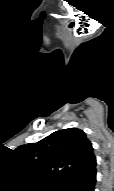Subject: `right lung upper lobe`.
<instances>
[{
  "instance_id": "obj_1",
  "label": "right lung upper lobe",
  "mask_w": 114,
  "mask_h": 191,
  "mask_svg": "<svg viewBox=\"0 0 114 191\" xmlns=\"http://www.w3.org/2000/svg\"><path fill=\"white\" fill-rule=\"evenodd\" d=\"M15 152L30 173L50 189L96 169L91 142L78 128L56 131Z\"/></svg>"
}]
</instances>
